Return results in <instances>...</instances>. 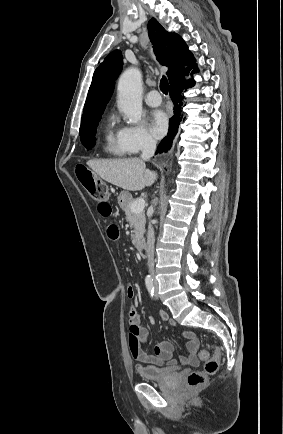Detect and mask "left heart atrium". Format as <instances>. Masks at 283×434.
Returning a JSON list of instances; mask_svg holds the SVG:
<instances>
[{"instance_id": "left-heart-atrium-1", "label": "left heart atrium", "mask_w": 283, "mask_h": 434, "mask_svg": "<svg viewBox=\"0 0 283 434\" xmlns=\"http://www.w3.org/2000/svg\"><path fill=\"white\" fill-rule=\"evenodd\" d=\"M168 128V119L161 110L153 111L150 117V130L156 137H162Z\"/></svg>"}]
</instances>
